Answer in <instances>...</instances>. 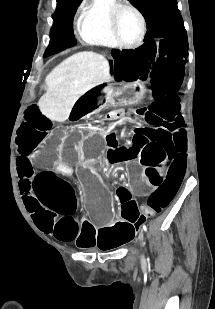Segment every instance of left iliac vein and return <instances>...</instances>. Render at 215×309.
<instances>
[{"instance_id":"left-iliac-vein-1","label":"left iliac vein","mask_w":215,"mask_h":309,"mask_svg":"<svg viewBox=\"0 0 215 309\" xmlns=\"http://www.w3.org/2000/svg\"><path fill=\"white\" fill-rule=\"evenodd\" d=\"M143 236H144V234H143V228H141V229L139 230V236H138V241H139V242H142Z\"/></svg>"}]
</instances>
